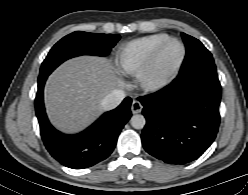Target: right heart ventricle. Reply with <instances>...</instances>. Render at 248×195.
<instances>
[{"mask_svg":"<svg viewBox=\"0 0 248 195\" xmlns=\"http://www.w3.org/2000/svg\"><path fill=\"white\" fill-rule=\"evenodd\" d=\"M169 38L166 33H156L123 45L117 54V64L127 75L139 74L149 63L156 49Z\"/></svg>","mask_w":248,"mask_h":195,"instance_id":"e07e8e85","label":"right heart ventricle"}]
</instances>
